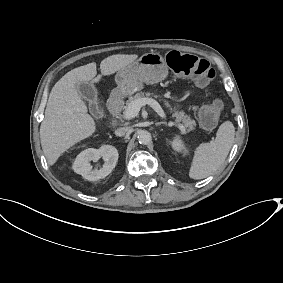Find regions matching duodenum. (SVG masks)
Instances as JSON below:
<instances>
[{
  "mask_svg": "<svg viewBox=\"0 0 283 283\" xmlns=\"http://www.w3.org/2000/svg\"><path fill=\"white\" fill-rule=\"evenodd\" d=\"M122 106H123L122 97L120 95H118V94L112 96L110 98L109 102H108V108L116 116L121 112ZM113 125H116V123L114 122Z\"/></svg>",
  "mask_w": 283,
  "mask_h": 283,
  "instance_id": "410a0bca",
  "label": "duodenum"
}]
</instances>
